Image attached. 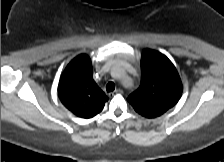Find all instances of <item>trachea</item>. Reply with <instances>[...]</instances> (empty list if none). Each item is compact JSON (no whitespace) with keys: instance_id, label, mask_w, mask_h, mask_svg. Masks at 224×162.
<instances>
[{"instance_id":"trachea-1","label":"trachea","mask_w":224,"mask_h":162,"mask_svg":"<svg viewBox=\"0 0 224 162\" xmlns=\"http://www.w3.org/2000/svg\"><path fill=\"white\" fill-rule=\"evenodd\" d=\"M115 89V84L113 82H108V84L106 85V91L107 92H112Z\"/></svg>"}]
</instances>
